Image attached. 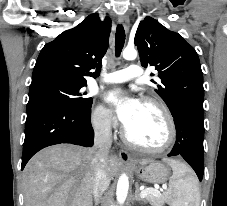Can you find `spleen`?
Listing matches in <instances>:
<instances>
[{
	"instance_id": "obj_1",
	"label": "spleen",
	"mask_w": 227,
	"mask_h": 206,
	"mask_svg": "<svg viewBox=\"0 0 227 206\" xmlns=\"http://www.w3.org/2000/svg\"><path fill=\"white\" fill-rule=\"evenodd\" d=\"M172 168L166 199L171 206H199L200 189L195 176L188 167L177 160H165ZM187 174V175H186Z\"/></svg>"
}]
</instances>
